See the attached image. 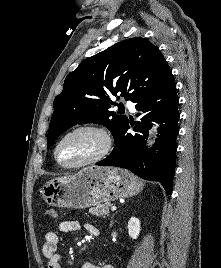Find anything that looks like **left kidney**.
<instances>
[{
  "label": "left kidney",
  "instance_id": "5707ae66",
  "mask_svg": "<svg viewBox=\"0 0 221 268\" xmlns=\"http://www.w3.org/2000/svg\"><path fill=\"white\" fill-rule=\"evenodd\" d=\"M128 233L132 239H137L140 234V221L136 217H131L128 222Z\"/></svg>",
  "mask_w": 221,
  "mask_h": 268
}]
</instances>
